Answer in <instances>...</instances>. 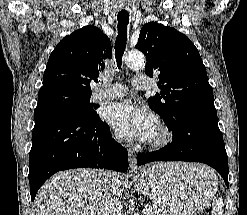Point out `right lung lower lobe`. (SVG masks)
<instances>
[{"instance_id":"right-lung-lower-lobe-1","label":"right lung lower lobe","mask_w":247,"mask_h":215,"mask_svg":"<svg viewBox=\"0 0 247 215\" xmlns=\"http://www.w3.org/2000/svg\"><path fill=\"white\" fill-rule=\"evenodd\" d=\"M29 154L31 200L54 173L72 168L126 172L128 153L111 137L107 123L47 101H38Z\"/></svg>"}]
</instances>
